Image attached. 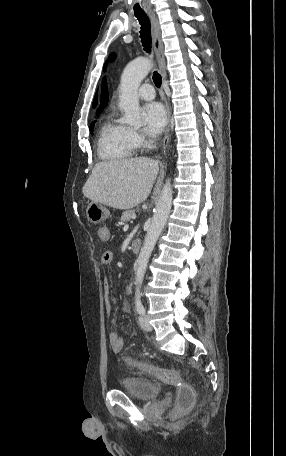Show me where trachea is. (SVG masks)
Returning a JSON list of instances; mask_svg holds the SVG:
<instances>
[{"label":"trachea","mask_w":286,"mask_h":456,"mask_svg":"<svg viewBox=\"0 0 286 456\" xmlns=\"http://www.w3.org/2000/svg\"><path fill=\"white\" fill-rule=\"evenodd\" d=\"M135 16L141 25L140 38H141V42L144 47V50L146 52L150 53L151 52V26H150V21L148 19V16L144 12L135 13ZM153 81H154L156 87L160 88L161 82H162V77L156 71L153 73Z\"/></svg>","instance_id":"obj_1"}]
</instances>
